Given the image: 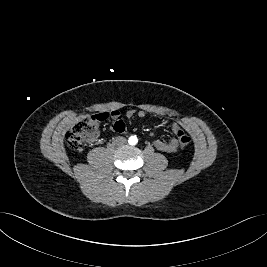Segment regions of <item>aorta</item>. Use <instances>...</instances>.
I'll list each match as a JSON object with an SVG mask.
<instances>
[{"label": "aorta", "instance_id": "1", "mask_svg": "<svg viewBox=\"0 0 267 267\" xmlns=\"http://www.w3.org/2000/svg\"><path fill=\"white\" fill-rule=\"evenodd\" d=\"M128 142H129L130 145H136L137 142H138V139H137L136 136H131V137H129Z\"/></svg>", "mask_w": 267, "mask_h": 267}]
</instances>
